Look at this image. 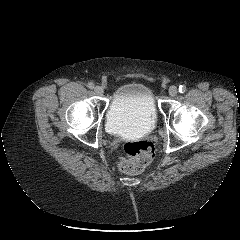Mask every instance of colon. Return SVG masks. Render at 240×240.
I'll list each match as a JSON object with an SVG mask.
<instances>
[{
  "label": "colon",
  "mask_w": 240,
  "mask_h": 240,
  "mask_svg": "<svg viewBox=\"0 0 240 240\" xmlns=\"http://www.w3.org/2000/svg\"><path fill=\"white\" fill-rule=\"evenodd\" d=\"M126 158L121 161L120 169L128 174H138L145 170L155 155L150 141L126 142L122 146Z\"/></svg>",
  "instance_id": "obj_1"
}]
</instances>
